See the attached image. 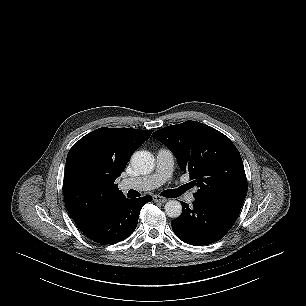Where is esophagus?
Here are the masks:
<instances>
[{
    "label": "esophagus",
    "instance_id": "esophagus-1",
    "mask_svg": "<svg viewBox=\"0 0 306 306\" xmlns=\"http://www.w3.org/2000/svg\"><path fill=\"white\" fill-rule=\"evenodd\" d=\"M152 199L154 202H159V203H165L167 201L166 198L158 195H154Z\"/></svg>",
    "mask_w": 306,
    "mask_h": 306
}]
</instances>
